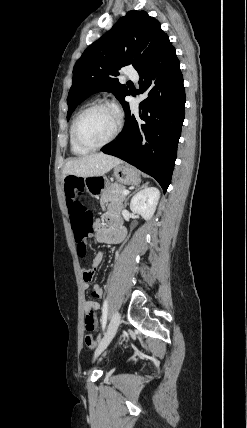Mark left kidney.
Wrapping results in <instances>:
<instances>
[{
  "mask_svg": "<svg viewBox=\"0 0 247 428\" xmlns=\"http://www.w3.org/2000/svg\"><path fill=\"white\" fill-rule=\"evenodd\" d=\"M160 191L156 187H145L137 192L131 199L130 209L140 214L145 220H149L157 207Z\"/></svg>",
  "mask_w": 247,
  "mask_h": 428,
  "instance_id": "5707ae66",
  "label": "left kidney"
}]
</instances>
